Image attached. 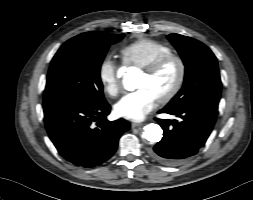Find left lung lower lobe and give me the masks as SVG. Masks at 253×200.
<instances>
[{
    "label": "left lung lower lobe",
    "mask_w": 253,
    "mask_h": 200,
    "mask_svg": "<svg viewBox=\"0 0 253 200\" xmlns=\"http://www.w3.org/2000/svg\"><path fill=\"white\" fill-rule=\"evenodd\" d=\"M159 113L175 115L179 120L156 119L164 134L150 150V156L160 163L175 165L204 146L214 126L218 104L202 102L177 109L164 107Z\"/></svg>",
    "instance_id": "left-lung-lower-lobe-1"
}]
</instances>
